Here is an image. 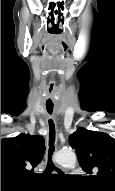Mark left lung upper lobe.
<instances>
[{"label":"left lung upper lobe","instance_id":"1","mask_svg":"<svg viewBox=\"0 0 115 191\" xmlns=\"http://www.w3.org/2000/svg\"><path fill=\"white\" fill-rule=\"evenodd\" d=\"M69 143L81 168L90 174L87 179L103 191H115V139L80 127L70 135Z\"/></svg>","mask_w":115,"mask_h":191}]
</instances>
